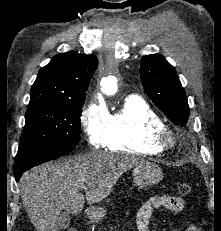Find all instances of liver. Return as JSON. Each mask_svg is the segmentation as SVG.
Here are the masks:
<instances>
[{
	"label": "liver",
	"instance_id": "1",
	"mask_svg": "<svg viewBox=\"0 0 221 231\" xmlns=\"http://www.w3.org/2000/svg\"><path fill=\"white\" fill-rule=\"evenodd\" d=\"M142 161L133 155L93 151L37 166L20 179L23 205L37 231H58L63 210L77 215L85 198L88 205L101 202L120 176Z\"/></svg>",
	"mask_w": 221,
	"mask_h": 231
}]
</instances>
